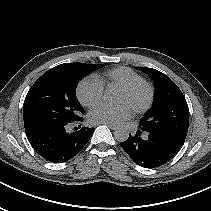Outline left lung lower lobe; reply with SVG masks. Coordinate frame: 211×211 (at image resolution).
I'll return each mask as SVG.
<instances>
[{
	"label": "left lung lower lobe",
	"mask_w": 211,
	"mask_h": 211,
	"mask_svg": "<svg viewBox=\"0 0 211 211\" xmlns=\"http://www.w3.org/2000/svg\"><path fill=\"white\" fill-rule=\"evenodd\" d=\"M140 133L141 131H138L135 136L130 134L126 141L120 143L123 150L139 166L146 168L161 166L182 147L159 133L148 132L146 139H142Z\"/></svg>",
	"instance_id": "obj_1"
}]
</instances>
